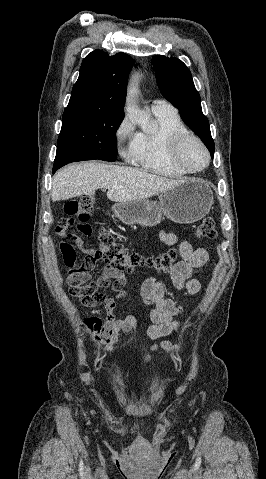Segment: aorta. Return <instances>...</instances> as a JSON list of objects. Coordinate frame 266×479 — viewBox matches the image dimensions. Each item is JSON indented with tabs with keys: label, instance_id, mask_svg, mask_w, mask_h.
<instances>
[{
	"label": "aorta",
	"instance_id": "1",
	"mask_svg": "<svg viewBox=\"0 0 266 479\" xmlns=\"http://www.w3.org/2000/svg\"><path fill=\"white\" fill-rule=\"evenodd\" d=\"M137 93L138 88L135 80L128 89L127 104L125 107L126 114L132 122L141 125L144 130H150L154 127V122L147 112H143L138 108L136 104Z\"/></svg>",
	"mask_w": 266,
	"mask_h": 479
}]
</instances>
